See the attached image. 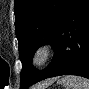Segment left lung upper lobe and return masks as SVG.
<instances>
[{
	"mask_svg": "<svg viewBox=\"0 0 89 89\" xmlns=\"http://www.w3.org/2000/svg\"><path fill=\"white\" fill-rule=\"evenodd\" d=\"M72 0H15V29L22 62L20 89H26L38 70L32 66L36 49L53 45L61 20Z\"/></svg>",
	"mask_w": 89,
	"mask_h": 89,
	"instance_id": "1",
	"label": "left lung upper lobe"
}]
</instances>
